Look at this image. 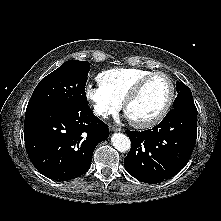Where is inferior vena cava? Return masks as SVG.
<instances>
[{
  "label": "inferior vena cava",
  "mask_w": 221,
  "mask_h": 221,
  "mask_svg": "<svg viewBox=\"0 0 221 221\" xmlns=\"http://www.w3.org/2000/svg\"><path fill=\"white\" fill-rule=\"evenodd\" d=\"M96 112H97L98 115H101V116H104V117H106V115H107V113H105V111H103L101 109H97Z\"/></svg>",
  "instance_id": "602c4592"
}]
</instances>
